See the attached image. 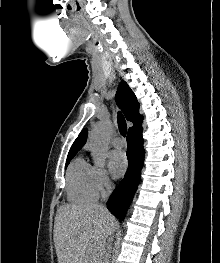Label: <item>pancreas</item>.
Listing matches in <instances>:
<instances>
[{"label":"pancreas","mask_w":220,"mask_h":263,"mask_svg":"<svg viewBox=\"0 0 220 263\" xmlns=\"http://www.w3.org/2000/svg\"><path fill=\"white\" fill-rule=\"evenodd\" d=\"M93 263H102V254L99 252H94Z\"/></svg>","instance_id":"obj_1"}]
</instances>
